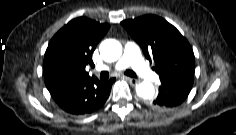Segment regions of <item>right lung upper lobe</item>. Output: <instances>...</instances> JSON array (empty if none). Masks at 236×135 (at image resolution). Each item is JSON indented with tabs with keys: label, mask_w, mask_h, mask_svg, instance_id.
I'll return each instance as SVG.
<instances>
[{
	"label": "right lung upper lobe",
	"mask_w": 236,
	"mask_h": 135,
	"mask_svg": "<svg viewBox=\"0 0 236 135\" xmlns=\"http://www.w3.org/2000/svg\"><path fill=\"white\" fill-rule=\"evenodd\" d=\"M109 24H100L85 17L68 22L51 39L44 56V77L68 73L76 77H89L85 70L94 66L92 53L105 36Z\"/></svg>",
	"instance_id": "right-lung-upper-lobe-1"
}]
</instances>
